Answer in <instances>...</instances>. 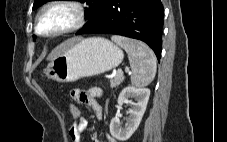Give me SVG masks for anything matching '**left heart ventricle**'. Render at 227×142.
<instances>
[{"label": "left heart ventricle", "instance_id": "left-heart-ventricle-1", "mask_svg": "<svg viewBox=\"0 0 227 142\" xmlns=\"http://www.w3.org/2000/svg\"><path fill=\"white\" fill-rule=\"evenodd\" d=\"M75 20L72 9L55 7L46 11L41 19L39 30L42 33H51L69 27Z\"/></svg>", "mask_w": 227, "mask_h": 142}]
</instances>
